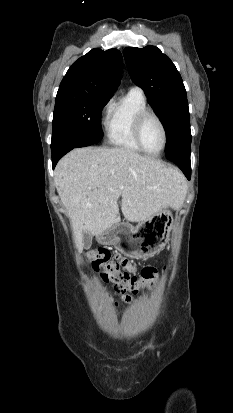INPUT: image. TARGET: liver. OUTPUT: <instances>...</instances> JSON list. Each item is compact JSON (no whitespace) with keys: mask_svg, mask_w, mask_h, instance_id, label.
Masks as SVG:
<instances>
[{"mask_svg":"<svg viewBox=\"0 0 233 413\" xmlns=\"http://www.w3.org/2000/svg\"><path fill=\"white\" fill-rule=\"evenodd\" d=\"M55 185L79 250L84 233L97 236L120 221V197L124 218L142 222L177 207L186 192L178 170L128 148L72 150L55 168Z\"/></svg>","mask_w":233,"mask_h":413,"instance_id":"obj_1","label":"liver"}]
</instances>
